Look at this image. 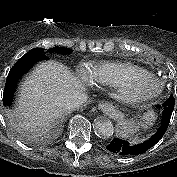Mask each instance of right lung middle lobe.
I'll use <instances>...</instances> for the list:
<instances>
[{
	"instance_id": "dd1d6c3e",
	"label": "right lung middle lobe",
	"mask_w": 177,
	"mask_h": 177,
	"mask_svg": "<svg viewBox=\"0 0 177 177\" xmlns=\"http://www.w3.org/2000/svg\"><path fill=\"white\" fill-rule=\"evenodd\" d=\"M52 50H56L58 52L65 53V54L72 52L71 49L64 48V47H55ZM28 53L29 54H44V49L43 48H34V49H31Z\"/></svg>"
}]
</instances>
